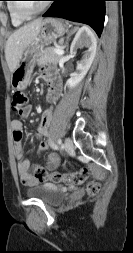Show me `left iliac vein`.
Here are the masks:
<instances>
[{"instance_id": "left-iliac-vein-1", "label": "left iliac vein", "mask_w": 133, "mask_h": 253, "mask_svg": "<svg viewBox=\"0 0 133 253\" xmlns=\"http://www.w3.org/2000/svg\"><path fill=\"white\" fill-rule=\"evenodd\" d=\"M73 141H72V139L71 138H66L65 140H64V149L66 150V151H70V150H72L73 149Z\"/></svg>"}]
</instances>
